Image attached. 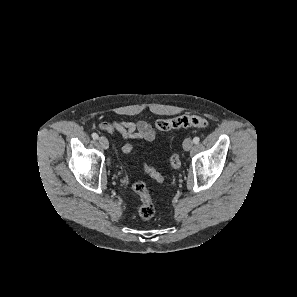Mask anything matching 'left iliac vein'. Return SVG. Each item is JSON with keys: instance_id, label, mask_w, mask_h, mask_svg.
I'll return each instance as SVG.
<instances>
[{"instance_id": "left-iliac-vein-1", "label": "left iliac vein", "mask_w": 297, "mask_h": 297, "mask_svg": "<svg viewBox=\"0 0 297 297\" xmlns=\"http://www.w3.org/2000/svg\"><path fill=\"white\" fill-rule=\"evenodd\" d=\"M192 147H193V141L190 138H186L183 142V149L185 151H189L191 150Z\"/></svg>"}]
</instances>
